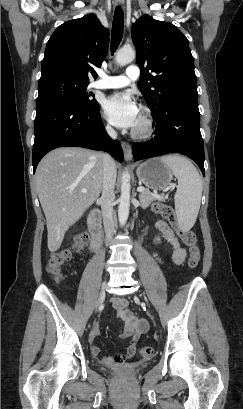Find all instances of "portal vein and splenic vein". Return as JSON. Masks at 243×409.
I'll return each instance as SVG.
<instances>
[{
    "mask_svg": "<svg viewBox=\"0 0 243 409\" xmlns=\"http://www.w3.org/2000/svg\"><path fill=\"white\" fill-rule=\"evenodd\" d=\"M174 186H175L174 184L171 185V187H174ZM144 190H145L144 187H138V188H137V191H138V192H143ZM81 192H82V193H87V190L83 189Z\"/></svg>",
    "mask_w": 243,
    "mask_h": 409,
    "instance_id": "obj_1",
    "label": "portal vein and splenic vein"
}]
</instances>
